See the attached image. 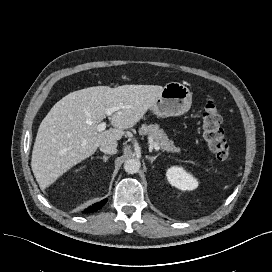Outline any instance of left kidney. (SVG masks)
Returning a JSON list of instances; mask_svg holds the SVG:
<instances>
[{
    "mask_svg": "<svg viewBox=\"0 0 272 272\" xmlns=\"http://www.w3.org/2000/svg\"><path fill=\"white\" fill-rule=\"evenodd\" d=\"M166 176L169 183L180 190H194L198 187L197 179L186 172L182 167L173 166L169 168L166 172Z\"/></svg>",
    "mask_w": 272,
    "mask_h": 272,
    "instance_id": "obj_1",
    "label": "left kidney"
}]
</instances>
